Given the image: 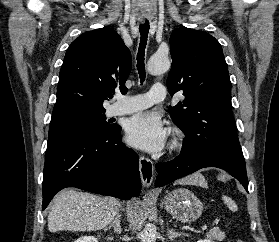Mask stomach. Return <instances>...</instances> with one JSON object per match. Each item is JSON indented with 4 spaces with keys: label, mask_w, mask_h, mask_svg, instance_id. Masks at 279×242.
I'll list each match as a JSON object with an SVG mask.
<instances>
[{
    "label": "stomach",
    "mask_w": 279,
    "mask_h": 242,
    "mask_svg": "<svg viewBox=\"0 0 279 242\" xmlns=\"http://www.w3.org/2000/svg\"><path fill=\"white\" fill-rule=\"evenodd\" d=\"M162 204L173 218L184 223L196 221L203 212V204L200 199L185 188H178L168 193Z\"/></svg>",
    "instance_id": "0dacf381"
}]
</instances>
